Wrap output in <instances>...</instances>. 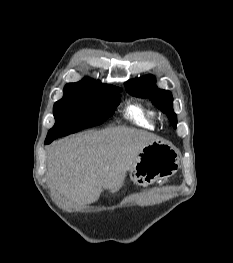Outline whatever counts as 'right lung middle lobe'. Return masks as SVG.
I'll list each match as a JSON object with an SVG mask.
<instances>
[{"mask_svg":"<svg viewBox=\"0 0 233 263\" xmlns=\"http://www.w3.org/2000/svg\"><path fill=\"white\" fill-rule=\"evenodd\" d=\"M120 92L121 89H112L94 96L63 97L54 104L55 125L49 130L45 141L103 123L119 105Z\"/></svg>","mask_w":233,"mask_h":263,"instance_id":"1","label":"right lung middle lobe"}]
</instances>
